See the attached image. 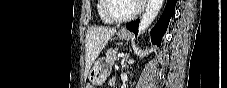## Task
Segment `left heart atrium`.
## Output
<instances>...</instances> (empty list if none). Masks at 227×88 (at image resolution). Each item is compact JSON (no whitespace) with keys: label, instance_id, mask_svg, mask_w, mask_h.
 <instances>
[{"label":"left heart atrium","instance_id":"left-heart-atrium-1","mask_svg":"<svg viewBox=\"0 0 227 88\" xmlns=\"http://www.w3.org/2000/svg\"><path fill=\"white\" fill-rule=\"evenodd\" d=\"M137 3H138V4H144L145 1H144V0H137Z\"/></svg>","mask_w":227,"mask_h":88}]
</instances>
